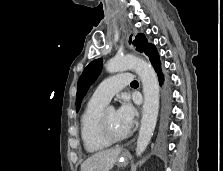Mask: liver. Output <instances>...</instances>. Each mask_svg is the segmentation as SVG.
<instances>
[{
  "instance_id": "obj_1",
  "label": "liver",
  "mask_w": 223,
  "mask_h": 171,
  "mask_svg": "<svg viewBox=\"0 0 223 171\" xmlns=\"http://www.w3.org/2000/svg\"><path fill=\"white\" fill-rule=\"evenodd\" d=\"M121 148H112L97 152L85 160L81 171H110L115 165Z\"/></svg>"
}]
</instances>
